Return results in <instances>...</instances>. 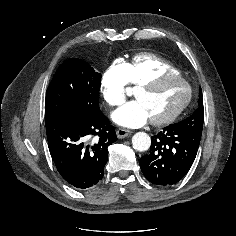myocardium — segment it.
Returning a JSON list of instances; mask_svg holds the SVG:
<instances>
[{
    "mask_svg": "<svg viewBox=\"0 0 236 236\" xmlns=\"http://www.w3.org/2000/svg\"><path fill=\"white\" fill-rule=\"evenodd\" d=\"M168 80H177L182 82L187 90V94L183 102L170 114L160 117V118H151V122L154 125H165L173 122L189 105L191 99H192V88L189 84V82L180 74H161L158 75L141 85L137 86L136 92L138 91H144V90H152L156 88L158 85H160L162 82L168 81Z\"/></svg>",
    "mask_w": 236,
    "mask_h": 236,
    "instance_id": "obj_1",
    "label": "myocardium"
}]
</instances>
